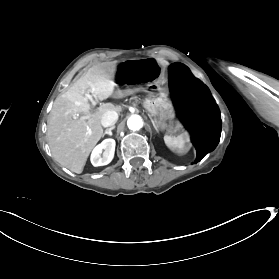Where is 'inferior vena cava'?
<instances>
[{"instance_id":"602c4592","label":"inferior vena cava","mask_w":279,"mask_h":279,"mask_svg":"<svg viewBox=\"0 0 279 279\" xmlns=\"http://www.w3.org/2000/svg\"><path fill=\"white\" fill-rule=\"evenodd\" d=\"M102 118V125L104 127H110L118 120V114L115 111H108L106 112V114H104V117Z\"/></svg>"}]
</instances>
